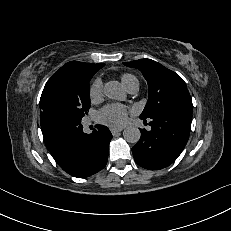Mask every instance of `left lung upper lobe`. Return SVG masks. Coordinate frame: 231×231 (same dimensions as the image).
I'll return each instance as SVG.
<instances>
[{"label":"left lung upper lobe","instance_id":"5c2ea615","mask_svg":"<svg viewBox=\"0 0 231 231\" xmlns=\"http://www.w3.org/2000/svg\"><path fill=\"white\" fill-rule=\"evenodd\" d=\"M123 64L139 69L148 82L149 97L140 115L141 119L150 118L167 109L192 112L190 94L185 82L178 74L151 59H140Z\"/></svg>","mask_w":231,"mask_h":231}]
</instances>
